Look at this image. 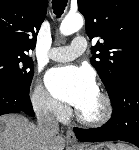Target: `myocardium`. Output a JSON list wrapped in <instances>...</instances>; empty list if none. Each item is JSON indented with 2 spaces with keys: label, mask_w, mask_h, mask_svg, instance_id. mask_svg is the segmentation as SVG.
Segmentation results:
<instances>
[{
  "label": "myocardium",
  "mask_w": 139,
  "mask_h": 150,
  "mask_svg": "<svg viewBox=\"0 0 139 150\" xmlns=\"http://www.w3.org/2000/svg\"><path fill=\"white\" fill-rule=\"evenodd\" d=\"M98 96L102 103V112L94 118H89L80 113L79 110L76 112L77 120L87 127H101L105 125L113 115V103L108 94L105 92H98Z\"/></svg>",
  "instance_id": "myocardium-1"
}]
</instances>
